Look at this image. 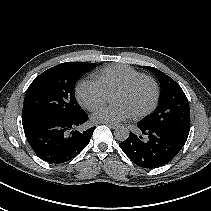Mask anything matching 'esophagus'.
Wrapping results in <instances>:
<instances>
[{
    "instance_id": "obj_1",
    "label": "esophagus",
    "mask_w": 211,
    "mask_h": 211,
    "mask_svg": "<svg viewBox=\"0 0 211 211\" xmlns=\"http://www.w3.org/2000/svg\"><path fill=\"white\" fill-rule=\"evenodd\" d=\"M103 124H105L106 126L112 128V129H115L117 127V125L113 124V123H103Z\"/></svg>"
}]
</instances>
